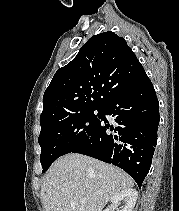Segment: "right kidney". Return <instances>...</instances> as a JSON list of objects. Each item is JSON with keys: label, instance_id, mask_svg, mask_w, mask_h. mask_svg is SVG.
Segmentation results:
<instances>
[{"label": "right kidney", "instance_id": "ca27d5eb", "mask_svg": "<svg viewBox=\"0 0 179 211\" xmlns=\"http://www.w3.org/2000/svg\"><path fill=\"white\" fill-rule=\"evenodd\" d=\"M138 197V193L135 189L133 188H127L122 190L121 192L115 194L111 198L112 206L114 208H117L121 202H124L125 205L121 210L117 211H133V208L136 204ZM104 211H111L109 208H107Z\"/></svg>", "mask_w": 179, "mask_h": 211}]
</instances>
